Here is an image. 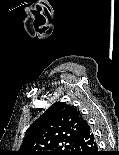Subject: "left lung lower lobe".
<instances>
[{
    "label": "left lung lower lobe",
    "mask_w": 119,
    "mask_h": 155,
    "mask_svg": "<svg viewBox=\"0 0 119 155\" xmlns=\"http://www.w3.org/2000/svg\"><path fill=\"white\" fill-rule=\"evenodd\" d=\"M75 145L78 150L76 155H103L101 151H98L97 140L91 126L83 118Z\"/></svg>",
    "instance_id": "0a47b994"
}]
</instances>
